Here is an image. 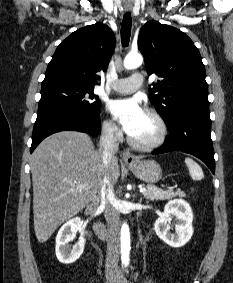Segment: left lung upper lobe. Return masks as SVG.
<instances>
[{
    "mask_svg": "<svg viewBox=\"0 0 233 283\" xmlns=\"http://www.w3.org/2000/svg\"><path fill=\"white\" fill-rule=\"evenodd\" d=\"M138 48L148 74L160 78L152 84L149 99L166 123L189 111H209L205 67L185 33L149 21L140 30Z\"/></svg>",
    "mask_w": 233,
    "mask_h": 283,
    "instance_id": "5c2ea615",
    "label": "left lung upper lobe"
}]
</instances>
